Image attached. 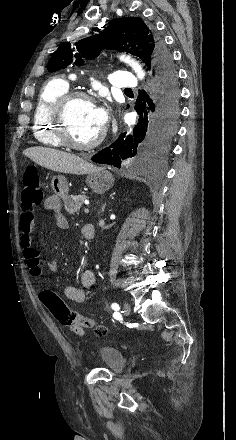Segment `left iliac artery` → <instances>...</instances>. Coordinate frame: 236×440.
I'll return each instance as SVG.
<instances>
[{
  "label": "left iliac artery",
  "instance_id": "obj_1",
  "mask_svg": "<svg viewBox=\"0 0 236 440\" xmlns=\"http://www.w3.org/2000/svg\"><path fill=\"white\" fill-rule=\"evenodd\" d=\"M111 307L113 310H116V311L120 309V307L117 303H112Z\"/></svg>",
  "mask_w": 236,
  "mask_h": 440
}]
</instances>
